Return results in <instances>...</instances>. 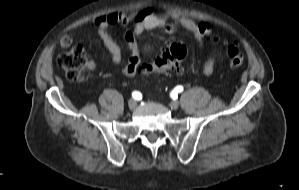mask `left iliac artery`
Listing matches in <instances>:
<instances>
[{"label": "left iliac artery", "mask_w": 299, "mask_h": 190, "mask_svg": "<svg viewBox=\"0 0 299 190\" xmlns=\"http://www.w3.org/2000/svg\"><path fill=\"white\" fill-rule=\"evenodd\" d=\"M183 91V86L179 85L177 87H175V89L173 90V93H180Z\"/></svg>", "instance_id": "left-iliac-artery-1"}]
</instances>
